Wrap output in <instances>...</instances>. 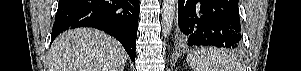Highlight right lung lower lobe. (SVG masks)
I'll return each mask as SVG.
<instances>
[{
    "mask_svg": "<svg viewBox=\"0 0 301 71\" xmlns=\"http://www.w3.org/2000/svg\"><path fill=\"white\" fill-rule=\"evenodd\" d=\"M139 0H60L51 42L61 32L93 27L114 36L135 61Z\"/></svg>",
    "mask_w": 301,
    "mask_h": 71,
    "instance_id": "98d812e1",
    "label": "right lung lower lobe"
}]
</instances>
